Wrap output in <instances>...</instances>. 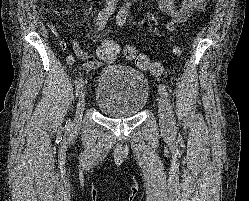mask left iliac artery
Instances as JSON below:
<instances>
[{
  "mask_svg": "<svg viewBox=\"0 0 249 201\" xmlns=\"http://www.w3.org/2000/svg\"><path fill=\"white\" fill-rule=\"evenodd\" d=\"M130 9V3L126 2L124 6L121 8V10L117 14V24L119 26H122L126 22V18L128 15ZM159 91L164 99V102L166 103L167 107V112H168V121H169V126H170V131L172 133H176V122H175V117L173 114V107L171 100L169 98L166 86L164 84L159 85Z\"/></svg>",
  "mask_w": 249,
  "mask_h": 201,
  "instance_id": "44dca946",
  "label": "left iliac artery"
}]
</instances>
